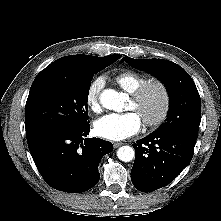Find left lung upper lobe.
Returning a JSON list of instances; mask_svg holds the SVG:
<instances>
[{"label":"left lung upper lobe","instance_id":"1","mask_svg":"<svg viewBox=\"0 0 221 221\" xmlns=\"http://www.w3.org/2000/svg\"><path fill=\"white\" fill-rule=\"evenodd\" d=\"M133 67L152 73L166 86L170 109L166 122L154 133L181 132L198 135L201 121V99L190 75L178 64L163 59L123 57Z\"/></svg>","mask_w":221,"mask_h":221}]
</instances>
